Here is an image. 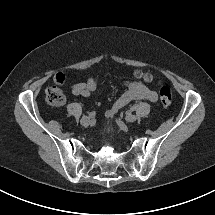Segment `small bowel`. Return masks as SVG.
Listing matches in <instances>:
<instances>
[{
	"label": "small bowel",
	"instance_id": "c3829d8e",
	"mask_svg": "<svg viewBox=\"0 0 215 215\" xmlns=\"http://www.w3.org/2000/svg\"><path fill=\"white\" fill-rule=\"evenodd\" d=\"M99 76H91L86 82L76 83L71 86V92L77 96L88 97L98 86ZM127 90L114 102L112 108L107 111V117L111 118L121 108L133 100H145L155 102L158 98L157 93L142 82L130 81L126 82Z\"/></svg>",
	"mask_w": 215,
	"mask_h": 215
}]
</instances>
